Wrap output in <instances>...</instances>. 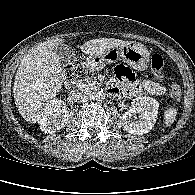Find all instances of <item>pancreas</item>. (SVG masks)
<instances>
[{
	"mask_svg": "<svg viewBox=\"0 0 195 195\" xmlns=\"http://www.w3.org/2000/svg\"><path fill=\"white\" fill-rule=\"evenodd\" d=\"M82 84L84 87H87L91 90L98 89L102 86L101 83H99L97 80L92 78L85 79Z\"/></svg>",
	"mask_w": 195,
	"mask_h": 195,
	"instance_id": "pancreas-1",
	"label": "pancreas"
}]
</instances>
